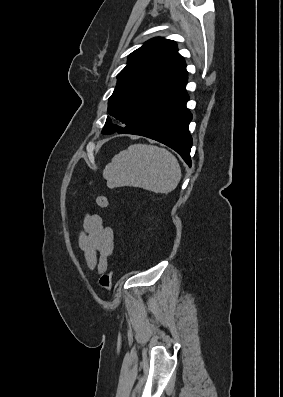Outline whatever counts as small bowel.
Returning <instances> with one entry per match:
<instances>
[{"mask_svg": "<svg viewBox=\"0 0 283 397\" xmlns=\"http://www.w3.org/2000/svg\"><path fill=\"white\" fill-rule=\"evenodd\" d=\"M79 246L89 269L104 273L115 247L113 229L98 214H86L79 234Z\"/></svg>", "mask_w": 283, "mask_h": 397, "instance_id": "c3829d8e", "label": "small bowel"}]
</instances>
